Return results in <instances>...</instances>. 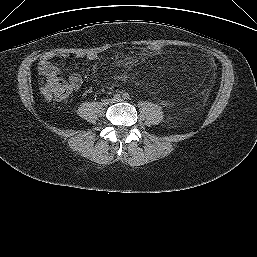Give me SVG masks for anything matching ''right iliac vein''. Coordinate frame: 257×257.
<instances>
[{"instance_id": "63e3f726", "label": "right iliac vein", "mask_w": 257, "mask_h": 257, "mask_svg": "<svg viewBox=\"0 0 257 257\" xmlns=\"http://www.w3.org/2000/svg\"><path fill=\"white\" fill-rule=\"evenodd\" d=\"M112 102H113V100H112V99H111V100H106V101H105V103H106V104H108V103H112Z\"/></svg>"}]
</instances>
